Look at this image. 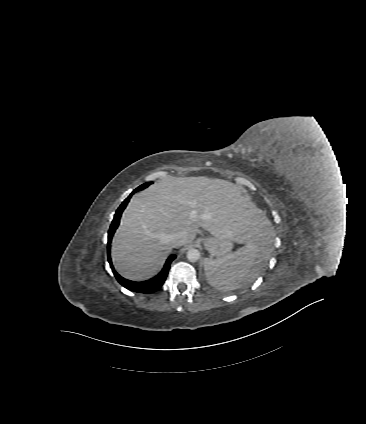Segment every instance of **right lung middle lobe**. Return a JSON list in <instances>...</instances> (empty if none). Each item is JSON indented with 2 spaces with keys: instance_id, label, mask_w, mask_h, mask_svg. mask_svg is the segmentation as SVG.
I'll use <instances>...</instances> for the list:
<instances>
[{
  "instance_id": "dd1d6c3e",
  "label": "right lung middle lobe",
  "mask_w": 366,
  "mask_h": 424,
  "mask_svg": "<svg viewBox=\"0 0 366 424\" xmlns=\"http://www.w3.org/2000/svg\"><path fill=\"white\" fill-rule=\"evenodd\" d=\"M150 184H151V182L142 184L141 186H139V187H138V190H137V191H139V190H142V189L146 188V187H147V186H149Z\"/></svg>"
}]
</instances>
